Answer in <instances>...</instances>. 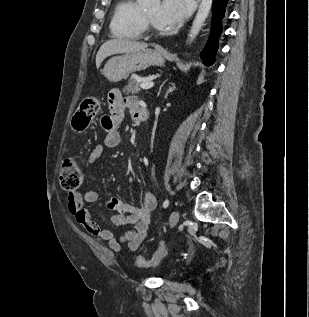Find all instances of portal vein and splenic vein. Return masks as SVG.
I'll list each match as a JSON object with an SVG mask.
<instances>
[{"label": "portal vein and splenic vein", "mask_w": 309, "mask_h": 317, "mask_svg": "<svg viewBox=\"0 0 309 317\" xmlns=\"http://www.w3.org/2000/svg\"><path fill=\"white\" fill-rule=\"evenodd\" d=\"M153 86H154V82H153V81H150V80L143 81V82L140 84V87H141L142 89H144V90L151 89Z\"/></svg>", "instance_id": "18ae733b"}]
</instances>
